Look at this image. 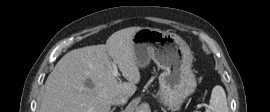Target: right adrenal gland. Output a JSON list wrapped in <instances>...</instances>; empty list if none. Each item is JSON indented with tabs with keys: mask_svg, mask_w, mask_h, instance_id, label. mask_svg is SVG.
Returning <instances> with one entry per match:
<instances>
[{
	"mask_svg": "<svg viewBox=\"0 0 270 112\" xmlns=\"http://www.w3.org/2000/svg\"><path fill=\"white\" fill-rule=\"evenodd\" d=\"M115 109H116V107H113V108L110 110V112H113Z\"/></svg>",
	"mask_w": 270,
	"mask_h": 112,
	"instance_id": "right-adrenal-gland-1",
	"label": "right adrenal gland"
}]
</instances>
